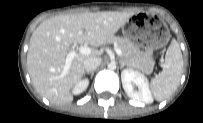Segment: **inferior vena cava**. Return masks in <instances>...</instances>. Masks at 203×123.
<instances>
[{"label":"inferior vena cava","mask_w":203,"mask_h":123,"mask_svg":"<svg viewBox=\"0 0 203 123\" xmlns=\"http://www.w3.org/2000/svg\"><path fill=\"white\" fill-rule=\"evenodd\" d=\"M102 60L99 57H91L83 62V67L86 71H94L98 66H100Z\"/></svg>","instance_id":"602c4592"}]
</instances>
